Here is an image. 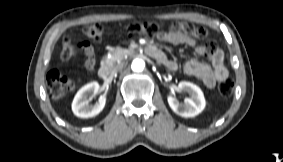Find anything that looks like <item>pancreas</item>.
<instances>
[{
	"mask_svg": "<svg viewBox=\"0 0 283 162\" xmlns=\"http://www.w3.org/2000/svg\"><path fill=\"white\" fill-rule=\"evenodd\" d=\"M110 57L104 56L101 60L102 66L112 67L116 62H120L125 58V53L120 48H114L109 52Z\"/></svg>",
	"mask_w": 283,
	"mask_h": 162,
	"instance_id": "obj_1",
	"label": "pancreas"
}]
</instances>
